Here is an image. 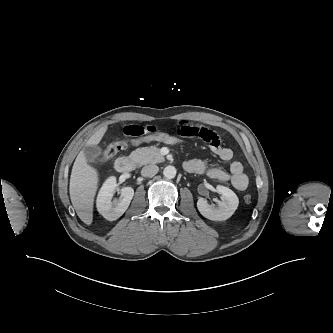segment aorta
I'll list each match as a JSON object with an SVG mask.
<instances>
[{"label":"aorta","instance_id":"1","mask_svg":"<svg viewBox=\"0 0 333 333\" xmlns=\"http://www.w3.org/2000/svg\"><path fill=\"white\" fill-rule=\"evenodd\" d=\"M176 168L174 166H166L163 170V175L167 179H173L176 176Z\"/></svg>","mask_w":333,"mask_h":333}]
</instances>
